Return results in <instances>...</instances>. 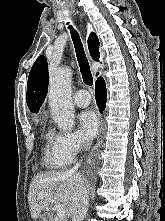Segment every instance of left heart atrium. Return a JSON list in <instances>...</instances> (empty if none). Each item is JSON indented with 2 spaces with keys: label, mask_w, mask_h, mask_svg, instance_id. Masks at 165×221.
Here are the masks:
<instances>
[{
  "label": "left heart atrium",
  "mask_w": 165,
  "mask_h": 221,
  "mask_svg": "<svg viewBox=\"0 0 165 221\" xmlns=\"http://www.w3.org/2000/svg\"><path fill=\"white\" fill-rule=\"evenodd\" d=\"M79 128L81 133L88 139L96 136L99 128L97 115L91 110H85L78 116Z\"/></svg>",
  "instance_id": "obj_1"
}]
</instances>
